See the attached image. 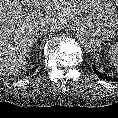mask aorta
I'll list each match as a JSON object with an SVG mask.
<instances>
[{
  "label": "aorta",
  "instance_id": "aorta-1",
  "mask_svg": "<svg viewBox=\"0 0 118 118\" xmlns=\"http://www.w3.org/2000/svg\"><path fill=\"white\" fill-rule=\"evenodd\" d=\"M76 37L85 52L93 54L101 50L100 40L93 33L85 30H78Z\"/></svg>",
  "mask_w": 118,
  "mask_h": 118
}]
</instances>
